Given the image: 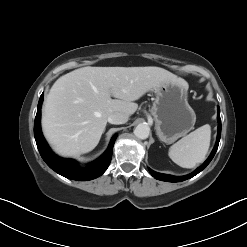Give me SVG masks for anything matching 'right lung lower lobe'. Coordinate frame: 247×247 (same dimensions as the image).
Masks as SVG:
<instances>
[{"mask_svg": "<svg viewBox=\"0 0 247 247\" xmlns=\"http://www.w3.org/2000/svg\"><path fill=\"white\" fill-rule=\"evenodd\" d=\"M43 101V94L40 97L37 114L34 122V136L38 150L41 157L46 164L58 174L73 180L87 181L92 180L102 175L108 168L111 158L112 150L117 135L111 139L110 145L106 152L96 161H94L86 169H81L78 164L72 159H63L56 156L46 143L40 127L41 104Z\"/></svg>", "mask_w": 247, "mask_h": 247, "instance_id": "98d812e1", "label": "right lung lower lobe"}]
</instances>
